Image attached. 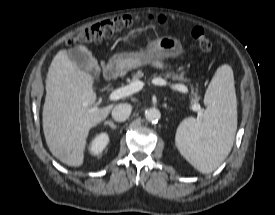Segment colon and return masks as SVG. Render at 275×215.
I'll list each match as a JSON object with an SVG mask.
<instances>
[{"instance_id":"5ec220e1","label":"colon","mask_w":275,"mask_h":215,"mask_svg":"<svg viewBox=\"0 0 275 215\" xmlns=\"http://www.w3.org/2000/svg\"><path fill=\"white\" fill-rule=\"evenodd\" d=\"M157 21L159 23H163V19L161 17H158ZM131 25V16H115L81 31L77 35L69 38L66 43L68 45H74L76 43H98L104 39L115 36L116 34L129 28ZM190 35L202 51L208 52L212 49V42L206 36L202 28H192L190 30Z\"/></svg>"}]
</instances>
